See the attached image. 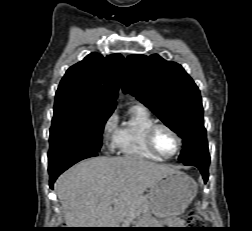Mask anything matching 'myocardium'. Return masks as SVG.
I'll list each match as a JSON object with an SVG mask.
<instances>
[{"instance_id": "obj_1", "label": "myocardium", "mask_w": 252, "mask_h": 231, "mask_svg": "<svg viewBox=\"0 0 252 231\" xmlns=\"http://www.w3.org/2000/svg\"><path fill=\"white\" fill-rule=\"evenodd\" d=\"M160 128H164L166 129L167 131H169L176 139L177 141V149L176 151L170 155V156H163L159 151L158 149L156 148L155 146V143H154V136H155V133L158 129ZM146 145L148 147V149L153 153L155 154L157 157H159L160 159L162 160H170V159H173L174 157H176L181 149H182V146H183V141H182V138L180 137V135L177 133V131L172 128L170 125L168 124H165V123H155L153 124L148 130H147V133H146Z\"/></svg>"}]
</instances>
